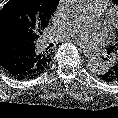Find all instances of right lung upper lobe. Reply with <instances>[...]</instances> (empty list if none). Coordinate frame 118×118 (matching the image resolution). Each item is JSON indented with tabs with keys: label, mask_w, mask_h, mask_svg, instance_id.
<instances>
[{
	"label": "right lung upper lobe",
	"mask_w": 118,
	"mask_h": 118,
	"mask_svg": "<svg viewBox=\"0 0 118 118\" xmlns=\"http://www.w3.org/2000/svg\"><path fill=\"white\" fill-rule=\"evenodd\" d=\"M37 1L39 3V8H40V12H41L42 16L46 17V18H50V16L56 9L58 2H59V0H37ZM44 28H42L41 31ZM41 31L36 34H33L29 38H25L20 33L25 38V40L28 42V44L37 48L35 69L39 73H42L48 67V65L51 61V57H50L51 54H50L49 47L47 49H41L38 45V38H39V35L41 34ZM8 32H17V31L10 25L0 24V37ZM17 33H19V32H17Z\"/></svg>",
	"instance_id": "1"
}]
</instances>
